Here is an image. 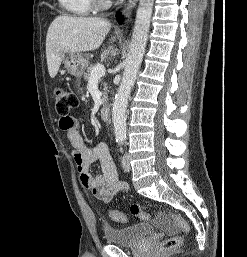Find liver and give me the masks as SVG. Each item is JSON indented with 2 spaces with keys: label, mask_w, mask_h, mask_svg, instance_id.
Here are the masks:
<instances>
[{
  "label": "liver",
  "mask_w": 247,
  "mask_h": 257,
  "mask_svg": "<svg viewBox=\"0 0 247 257\" xmlns=\"http://www.w3.org/2000/svg\"><path fill=\"white\" fill-rule=\"evenodd\" d=\"M110 29L111 23L101 18L56 17L46 36V58L50 77L57 75L65 53L96 50L102 45Z\"/></svg>",
  "instance_id": "1"
}]
</instances>
